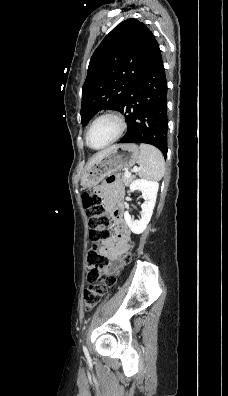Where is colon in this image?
<instances>
[{"label": "colon", "mask_w": 228, "mask_h": 396, "mask_svg": "<svg viewBox=\"0 0 228 396\" xmlns=\"http://www.w3.org/2000/svg\"><path fill=\"white\" fill-rule=\"evenodd\" d=\"M82 202L91 227L90 240L92 244L87 255L90 283L83 292L85 310L91 311L97 306L107 289L115 283L116 274L101 275L106 265V257L101 250L104 248V241L110 236L109 218L105 214L101 198L96 193L86 191L82 194ZM129 258V255L124 257L126 262L129 261Z\"/></svg>", "instance_id": "obj_1"}]
</instances>
